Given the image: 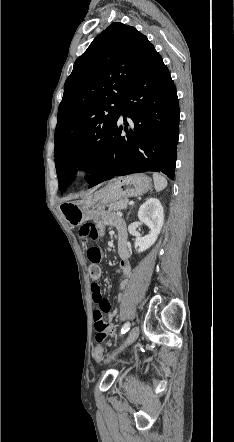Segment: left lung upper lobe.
Wrapping results in <instances>:
<instances>
[{"label": "left lung upper lobe", "instance_id": "obj_1", "mask_svg": "<svg viewBox=\"0 0 234 442\" xmlns=\"http://www.w3.org/2000/svg\"><path fill=\"white\" fill-rule=\"evenodd\" d=\"M155 51L145 35L118 22L99 34L75 61L64 85L55 131V165L62 192L81 162L89 161L86 170L92 175L102 164L123 97Z\"/></svg>", "mask_w": 234, "mask_h": 442}]
</instances>
